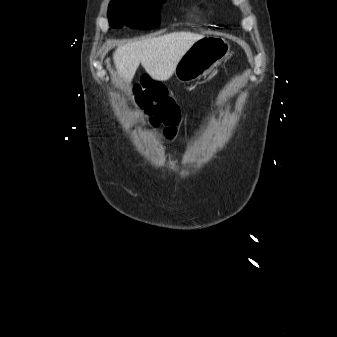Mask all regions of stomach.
<instances>
[{"label":"stomach","instance_id":"0dacf381","mask_svg":"<svg viewBox=\"0 0 337 337\" xmlns=\"http://www.w3.org/2000/svg\"><path fill=\"white\" fill-rule=\"evenodd\" d=\"M230 54L229 43L222 38L206 37L196 41L182 56L174 74L181 82H192L209 74Z\"/></svg>","mask_w":337,"mask_h":337}]
</instances>
